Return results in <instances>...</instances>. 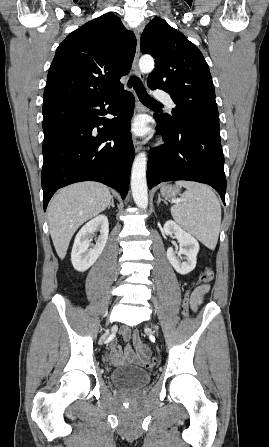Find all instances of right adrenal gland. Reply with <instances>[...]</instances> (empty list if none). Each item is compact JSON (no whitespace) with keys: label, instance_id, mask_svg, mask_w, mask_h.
<instances>
[{"label":"right adrenal gland","instance_id":"1","mask_svg":"<svg viewBox=\"0 0 269 447\" xmlns=\"http://www.w3.org/2000/svg\"><path fill=\"white\" fill-rule=\"evenodd\" d=\"M111 206H112V208H115V206H114L113 196H111V204H109V206H108V210H110Z\"/></svg>","mask_w":269,"mask_h":447}]
</instances>
